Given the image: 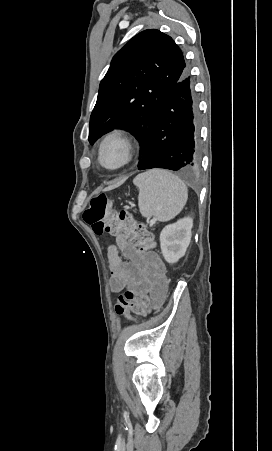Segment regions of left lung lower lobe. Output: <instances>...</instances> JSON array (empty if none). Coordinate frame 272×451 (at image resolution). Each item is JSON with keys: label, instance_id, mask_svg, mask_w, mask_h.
Here are the masks:
<instances>
[{"label": "left lung lower lobe", "instance_id": "1", "mask_svg": "<svg viewBox=\"0 0 272 451\" xmlns=\"http://www.w3.org/2000/svg\"><path fill=\"white\" fill-rule=\"evenodd\" d=\"M198 164L196 109L192 80L186 69L161 108L138 169L191 171Z\"/></svg>", "mask_w": 272, "mask_h": 451}]
</instances>
